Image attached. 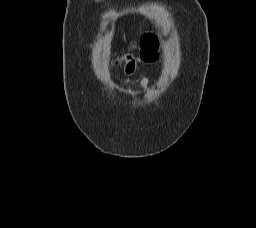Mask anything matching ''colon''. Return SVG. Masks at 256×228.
Returning a JSON list of instances; mask_svg holds the SVG:
<instances>
[{
    "label": "colon",
    "instance_id": "obj_1",
    "mask_svg": "<svg viewBox=\"0 0 256 228\" xmlns=\"http://www.w3.org/2000/svg\"><path fill=\"white\" fill-rule=\"evenodd\" d=\"M141 55L154 60L158 55V43L153 35H144L140 40Z\"/></svg>",
    "mask_w": 256,
    "mask_h": 228
}]
</instances>
